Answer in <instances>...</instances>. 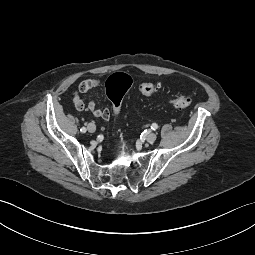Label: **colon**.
Here are the masks:
<instances>
[{
  "label": "colon",
  "mask_w": 255,
  "mask_h": 255,
  "mask_svg": "<svg viewBox=\"0 0 255 255\" xmlns=\"http://www.w3.org/2000/svg\"><path fill=\"white\" fill-rule=\"evenodd\" d=\"M131 86V77L123 72L114 73L107 79L106 91L108 98L112 103L114 116H117L119 113L121 101ZM138 90L142 95L150 96L158 91V86L152 83H142ZM192 103L193 99L189 96H180L170 100V104L179 109L190 107Z\"/></svg>",
  "instance_id": "5ec220e1"
}]
</instances>
